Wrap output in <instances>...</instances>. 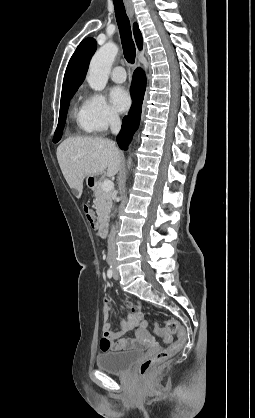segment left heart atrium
I'll return each mask as SVG.
<instances>
[{
	"label": "left heart atrium",
	"instance_id": "obj_1",
	"mask_svg": "<svg viewBox=\"0 0 255 418\" xmlns=\"http://www.w3.org/2000/svg\"><path fill=\"white\" fill-rule=\"evenodd\" d=\"M111 103L117 111L127 110L131 104L127 90L121 86H115L110 91Z\"/></svg>",
	"mask_w": 255,
	"mask_h": 418
}]
</instances>
